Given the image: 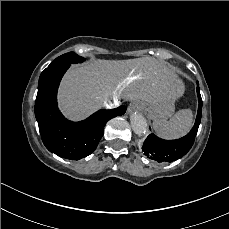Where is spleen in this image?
I'll return each mask as SVG.
<instances>
[{"label":"spleen","mask_w":229,"mask_h":229,"mask_svg":"<svg viewBox=\"0 0 229 229\" xmlns=\"http://www.w3.org/2000/svg\"><path fill=\"white\" fill-rule=\"evenodd\" d=\"M193 113L190 109L179 110L169 121L155 119L153 128L165 139H175L184 136L192 127Z\"/></svg>","instance_id":"1"}]
</instances>
